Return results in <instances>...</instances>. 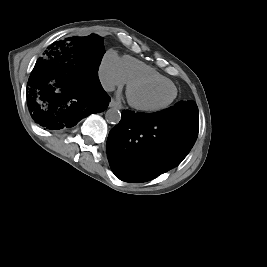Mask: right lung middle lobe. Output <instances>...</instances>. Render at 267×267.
<instances>
[{
	"mask_svg": "<svg viewBox=\"0 0 267 267\" xmlns=\"http://www.w3.org/2000/svg\"><path fill=\"white\" fill-rule=\"evenodd\" d=\"M67 41L68 42L61 41L59 44H66L70 46L77 53L86 57L90 63L99 67L105 53L103 37L91 34L86 37H70Z\"/></svg>",
	"mask_w": 267,
	"mask_h": 267,
	"instance_id": "obj_1",
	"label": "right lung middle lobe"
}]
</instances>
